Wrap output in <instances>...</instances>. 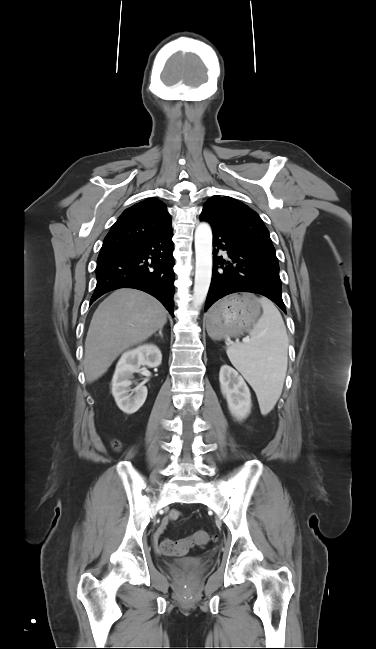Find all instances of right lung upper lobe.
I'll return each mask as SVG.
<instances>
[{
	"label": "right lung upper lobe",
	"instance_id": "1",
	"mask_svg": "<svg viewBox=\"0 0 376 649\" xmlns=\"http://www.w3.org/2000/svg\"><path fill=\"white\" fill-rule=\"evenodd\" d=\"M171 230V217L163 202L149 198L120 215L105 237L101 251L119 248Z\"/></svg>",
	"mask_w": 376,
	"mask_h": 649
}]
</instances>
